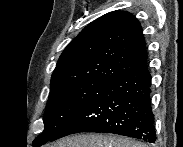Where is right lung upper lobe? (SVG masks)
I'll return each mask as SVG.
<instances>
[{"label": "right lung upper lobe", "instance_id": "right-lung-upper-lobe-1", "mask_svg": "<svg viewBox=\"0 0 183 147\" xmlns=\"http://www.w3.org/2000/svg\"><path fill=\"white\" fill-rule=\"evenodd\" d=\"M148 68L142 27L126 11L107 13L88 26L62 52L51 87L79 80L108 83Z\"/></svg>", "mask_w": 183, "mask_h": 147}]
</instances>
